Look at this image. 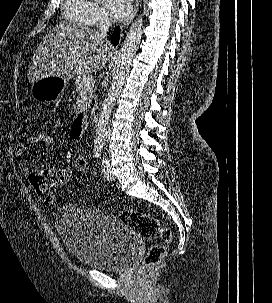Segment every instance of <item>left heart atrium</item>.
<instances>
[{
    "label": "left heart atrium",
    "mask_w": 272,
    "mask_h": 303,
    "mask_svg": "<svg viewBox=\"0 0 272 303\" xmlns=\"http://www.w3.org/2000/svg\"><path fill=\"white\" fill-rule=\"evenodd\" d=\"M109 15L116 20L127 17L132 8V0H105Z\"/></svg>",
    "instance_id": "left-heart-atrium-1"
}]
</instances>
